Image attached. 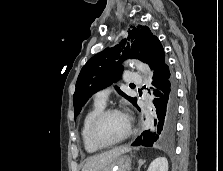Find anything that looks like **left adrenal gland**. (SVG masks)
I'll use <instances>...</instances> for the list:
<instances>
[{
	"mask_svg": "<svg viewBox=\"0 0 223 171\" xmlns=\"http://www.w3.org/2000/svg\"><path fill=\"white\" fill-rule=\"evenodd\" d=\"M145 163V160H142V159H140V160H138V169H137V171H140V168H141V166L143 165Z\"/></svg>",
	"mask_w": 223,
	"mask_h": 171,
	"instance_id": "obj_1",
	"label": "left adrenal gland"
}]
</instances>
